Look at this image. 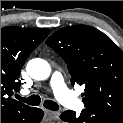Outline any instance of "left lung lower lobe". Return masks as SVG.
I'll return each mask as SVG.
<instances>
[{
    "label": "left lung lower lobe",
    "mask_w": 123,
    "mask_h": 123,
    "mask_svg": "<svg viewBox=\"0 0 123 123\" xmlns=\"http://www.w3.org/2000/svg\"><path fill=\"white\" fill-rule=\"evenodd\" d=\"M60 118L69 123H123V116L93 107H86L80 116L73 111H66Z\"/></svg>",
    "instance_id": "left-lung-lower-lobe-1"
}]
</instances>
